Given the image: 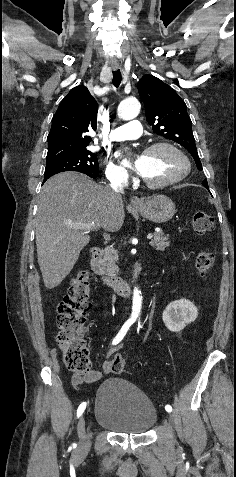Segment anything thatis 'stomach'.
I'll list each match as a JSON object with an SVG mask.
<instances>
[{
  "mask_svg": "<svg viewBox=\"0 0 236 477\" xmlns=\"http://www.w3.org/2000/svg\"><path fill=\"white\" fill-rule=\"evenodd\" d=\"M136 208L143 217L157 224L169 221L176 212L173 201L165 195L144 199Z\"/></svg>",
  "mask_w": 236,
  "mask_h": 477,
  "instance_id": "stomach-1",
  "label": "stomach"
}]
</instances>
